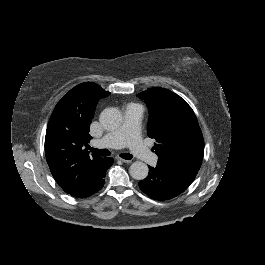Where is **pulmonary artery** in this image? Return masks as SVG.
Here are the masks:
<instances>
[{
  "label": "pulmonary artery",
  "instance_id": "e3ab8cb5",
  "mask_svg": "<svg viewBox=\"0 0 265 265\" xmlns=\"http://www.w3.org/2000/svg\"><path fill=\"white\" fill-rule=\"evenodd\" d=\"M141 118V110L136 106H126L123 108V123L118 126L113 135L105 136L102 138L101 143L103 146L114 149L121 148L127 141L130 152L142 160L145 164H152L156 160L154 152L140 143L139 138V124ZM99 140H93L98 142Z\"/></svg>",
  "mask_w": 265,
  "mask_h": 265
}]
</instances>
